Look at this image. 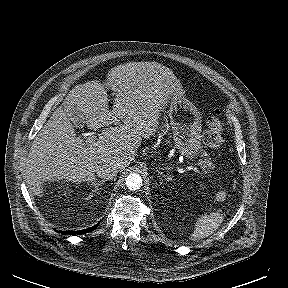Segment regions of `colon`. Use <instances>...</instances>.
<instances>
[{"instance_id": "5ec220e1", "label": "colon", "mask_w": 288, "mask_h": 288, "mask_svg": "<svg viewBox=\"0 0 288 288\" xmlns=\"http://www.w3.org/2000/svg\"><path fill=\"white\" fill-rule=\"evenodd\" d=\"M225 123L219 115L215 114L207 120V128L203 135L204 143L215 151L217 155H221L223 146V132Z\"/></svg>"}]
</instances>
